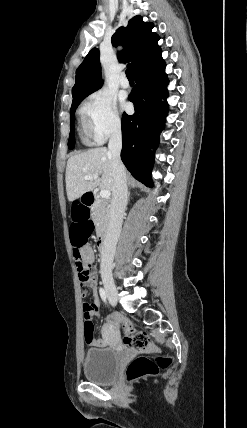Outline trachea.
<instances>
[{"label":"trachea","mask_w":247,"mask_h":428,"mask_svg":"<svg viewBox=\"0 0 247 428\" xmlns=\"http://www.w3.org/2000/svg\"><path fill=\"white\" fill-rule=\"evenodd\" d=\"M126 75H127V78L129 80H133V74H132V71L130 69L126 70Z\"/></svg>","instance_id":"trachea-1"}]
</instances>
